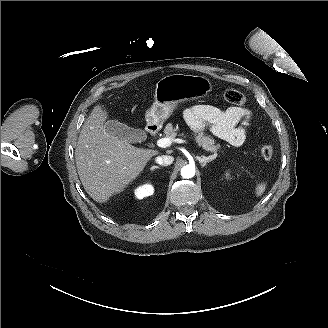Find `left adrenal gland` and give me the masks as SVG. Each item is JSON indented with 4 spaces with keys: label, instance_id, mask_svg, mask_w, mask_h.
I'll list each match as a JSON object with an SVG mask.
<instances>
[{
    "label": "left adrenal gland",
    "instance_id": "a2214340",
    "mask_svg": "<svg viewBox=\"0 0 328 328\" xmlns=\"http://www.w3.org/2000/svg\"><path fill=\"white\" fill-rule=\"evenodd\" d=\"M196 159H198L201 163V166L204 167L206 166L207 163L211 162L213 160L212 156H201V157H198L196 156Z\"/></svg>",
    "mask_w": 328,
    "mask_h": 328
}]
</instances>
